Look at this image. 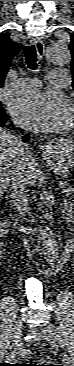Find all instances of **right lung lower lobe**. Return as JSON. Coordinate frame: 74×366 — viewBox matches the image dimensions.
<instances>
[{"instance_id":"right-lung-lower-lobe-1","label":"right lung lower lobe","mask_w":74,"mask_h":366,"mask_svg":"<svg viewBox=\"0 0 74 366\" xmlns=\"http://www.w3.org/2000/svg\"><path fill=\"white\" fill-rule=\"evenodd\" d=\"M8 120L6 114L3 115L2 117H0V127H4L5 126V123L6 121ZM29 139V135L26 134L24 137H23V140H28Z\"/></svg>"}]
</instances>
